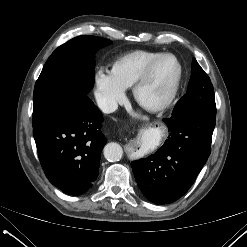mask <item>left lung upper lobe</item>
<instances>
[{"label":"left lung upper lobe","instance_id":"left-lung-upper-lobe-1","mask_svg":"<svg viewBox=\"0 0 247 247\" xmlns=\"http://www.w3.org/2000/svg\"><path fill=\"white\" fill-rule=\"evenodd\" d=\"M194 107L216 115L213 85L195 58L192 60V73L188 90L175 105L172 116Z\"/></svg>","mask_w":247,"mask_h":247}]
</instances>
